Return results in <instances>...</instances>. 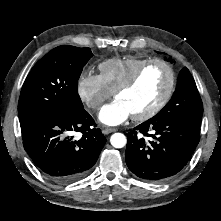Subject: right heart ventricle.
Listing matches in <instances>:
<instances>
[{
    "label": "right heart ventricle",
    "instance_id": "obj_1",
    "mask_svg": "<svg viewBox=\"0 0 221 221\" xmlns=\"http://www.w3.org/2000/svg\"><path fill=\"white\" fill-rule=\"evenodd\" d=\"M146 60L145 58L133 56L111 58L99 64V75L106 87L114 92L116 88L127 80Z\"/></svg>",
    "mask_w": 221,
    "mask_h": 221
}]
</instances>
